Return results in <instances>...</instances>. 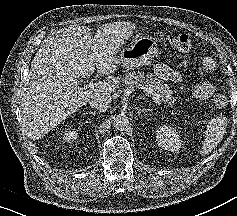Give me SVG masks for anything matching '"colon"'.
<instances>
[{
	"label": "colon",
	"instance_id": "colon-1",
	"mask_svg": "<svg viewBox=\"0 0 237 216\" xmlns=\"http://www.w3.org/2000/svg\"><path fill=\"white\" fill-rule=\"evenodd\" d=\"M168 42L177 50L188 52L192 48V40L187 34L170 35L167 37ZM228 103L227 97L223 94L214 96V104L218 108H224Z\"/></svg>",
	"mask_w": 237,
	"mask_h": 216
}]
</instances>
